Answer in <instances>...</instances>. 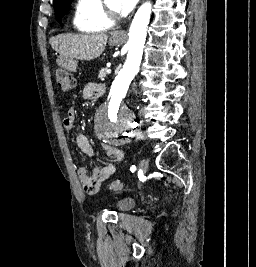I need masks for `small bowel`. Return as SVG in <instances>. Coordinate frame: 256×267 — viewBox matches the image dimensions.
Wrapping results in <instances>:
<instances>
[{"label": "small bowel", "instance_id": "small-bowel-1", "mask_svg": "<svg viewBox=\"0 0 256 267\" xmlns=\"http://www.w3.org/2000/svg\"><path fill=\"white\" fill-rule=\"evenodd\" d=\"M103 88L97 83H88L84 86L82 95L85 99L93 100L103 94ZM76 111L70 108L64 119L65 129L71 133L72 140L77 147L89 156L94 155V149L85 135L79 132H73ZM102 150L106 159L99 160L91 171L81 167L78 169V179L82 189L87 194H95L99 191L101 183L114 174L116 166L123 160L124 153L121 149L108 144H102Z\"/></svg>", "mask_w": 256, "mask_h": 267}]
</instances>
